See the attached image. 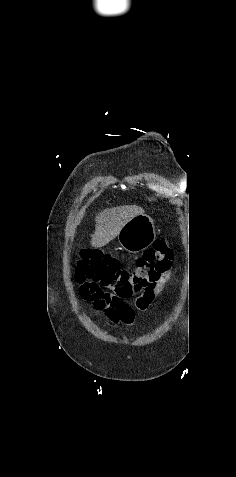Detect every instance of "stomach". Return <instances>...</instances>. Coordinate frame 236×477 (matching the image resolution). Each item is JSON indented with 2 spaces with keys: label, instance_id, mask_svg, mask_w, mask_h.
<instances>
[{
  "label": "stomach",
  "instance_id": "obj_1",
  "mask_svg": "<svg viewBox=\"0 0 236 477\" xmlns=\"http://www.w3.org/2000/svg\"><path fill=\"white\" fill-rule=\"evenodd\" d=\"M156 237V229L151 217L141 214L131 218L118 234L120 246L131 253L148 248Z\"/></svg>",
  "mask_w": 236,
  "mask_h": 477
}]
</instances>
